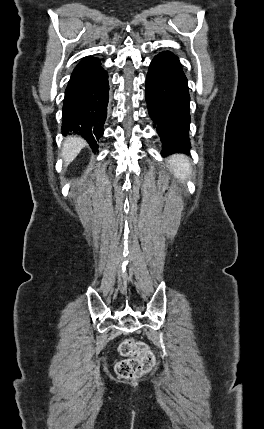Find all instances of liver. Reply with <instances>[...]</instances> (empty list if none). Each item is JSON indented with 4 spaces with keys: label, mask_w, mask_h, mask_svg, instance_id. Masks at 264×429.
Here are the masks:
<instances>
[{
    "label": "liver",
    "mask_w": 264,
    "mask_h": 429,
    "mask_svg": "<svg viewBox=\"0 0 264 429\" xmlns=\"http://www.w3.org/2000/svg\"><path fill=\"white\" fill-rule=\"evenodd\" d=\"M86 145V141L78 136L67 137L63 144L62 157L64 164H70Z\"/></svg>",
    "instance_id": "1"
}]
</instances>
